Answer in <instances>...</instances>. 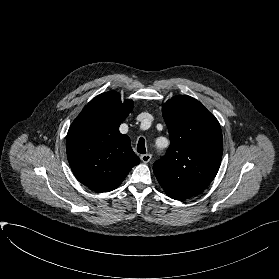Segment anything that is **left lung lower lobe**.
<instances>
[{
  "instance_id": "1",
  "label": "left lung lower lobe",
  "mask_w": 279,
  "mask_h": 279,
  "mask_svg": "<svg viewBox=\"0 0 279 279\" xmlns=\"http://www.w3.org/2000/svg\"><path fill=\"white\" fill-rule=\"evenodd\" d=\"M170 197L173 199H176V200H183L182 198H179V197H174V196H170Z\"/></svg>"
}]
</instances>
